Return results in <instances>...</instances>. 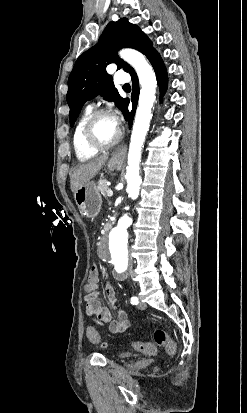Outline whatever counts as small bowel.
Returning a JSON list of instances; mask_svg holds the SVG:
<instances>
[{"label":"small bowel","instance_id":"small-bowel-1","mask_svg":"<svg viewBox=\"0 0 247 413\" xmlns=\"http://www.w3.org/2000/svg\"><path fill=\"white\" fill-rule=\"evenodd\" d=\"M86 283L84 290V302L86 304V312L92 317L93 322L100 325H108L109 330L114 334L123 333L131 325L132 321L127 314L119 310L116 319H113L110 311L104 307L99 300V282H94L95 286L90 288ZM105 293L108 301L111 303L113 309L118 310L119 305L115 295V289L111 284L105 286Z\"/></svg>","mask_w":247,"mask_h":413}]
</instances>
